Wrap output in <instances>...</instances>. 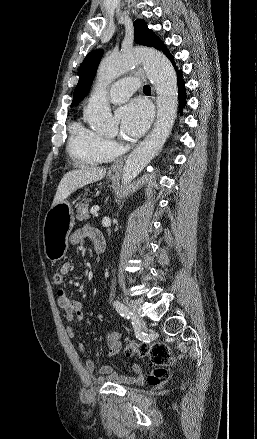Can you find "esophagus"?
<instances>
[{
    "instance_id": "obj_1",
    "label": "esophagus",
    "mask_w": 257,
    "mask_h": 439,
    "mask_svg": "<svg viewBox=\"0 0 257 439\" xmlns=\"http://www.w3.org/2000/svg\"><path fill=\"white\" fill-rule=\"evenodd\" d=\"M124 161H125V157H122V158L117 159V160L113 163V165H112V169H113V170H121L122 167H123V163H124Z\"/></svg>"
}]
</instances>
